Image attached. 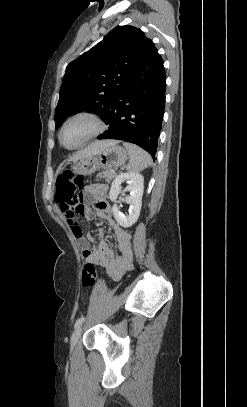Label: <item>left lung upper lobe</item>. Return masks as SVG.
<instances>
[{
    "mask_svg": "<svg viewBox=\"0 0 247 407\" xmlns=\"http://www.w3.org/2000/svg\"><path fill=\"white\" fill-rule=\"evenodd\" d=\"M157 49L139 28L117 26L66 69L55 111L58 129L72 114L95 111L107 121L124 86Z\"/></svg>",
    "mask_w": 247,
    "mask_h": 407,
    "instance_id": "left-lung-upper-lobe-1",
    "label": "left lung upper lobe"
}]
</instances>
